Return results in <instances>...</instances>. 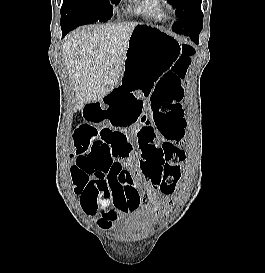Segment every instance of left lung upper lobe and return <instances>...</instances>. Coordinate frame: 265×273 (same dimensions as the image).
Masks as SVG:
<instances>
[{
  "label": "left lung upper lobe",
  "instance_id": "5c2ea615",
  "mask_svg": "<svg viewBox=\"0 0 265 273\" xmlns=\"http://www.w3.org/2000/svg\"><path fill=\"white\" fill-rule=\"evenodd\" d=\"M168 2H170L172 6L176 8L175 13L178 17L176 23H179L183 17L193 13H198L203 17V13L200 9L202 0H168Z\"/></svg>",
  "mask_w": 265,
  "mask_h": 273
}]
</instances>
